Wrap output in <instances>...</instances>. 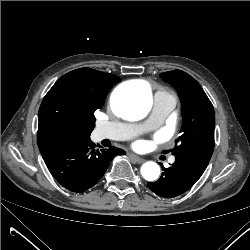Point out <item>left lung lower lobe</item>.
<instances>
[{
	"label": "left lung lower lobe",
	"mask_w": 250,
	"mask_h": 250,
	"mask_svg": "<svg viewBox=\"0 0 250 250\" xmlns=\"http://www.w3.org/2000/svg\"><path fill=\"white\" fill-rule=\"evenodd\" d=\"M214 147L192 148L175 155V162L163 168L160 179L147 185L159 196L172 198L188 191L201 177Z\"/></svg>",
	"instance_id": "1"
}]
</instances>
